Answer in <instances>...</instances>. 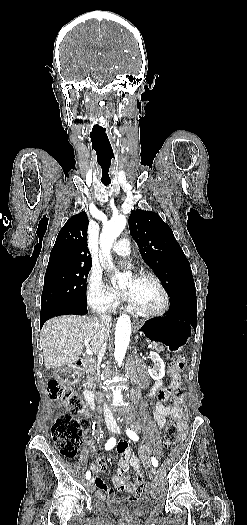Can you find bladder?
I'll return each instance as SVG.
<instances>
[{"label":"bladder","mask_w":247,"mask_h":525,"mask_svg":"<svg viewBox=\"0 0 247 525\" xmlns=\"http://www.w3.org/2000/svg\"><path fill=\"white\" fill-rule=\"evenodd\" d=\"M154 498L150 494L127 499H113L109 503L108 512L119 518H140L147 515L154 506Z\"/></svg>","instance_id":"31cf9c89"}]
</instances>
